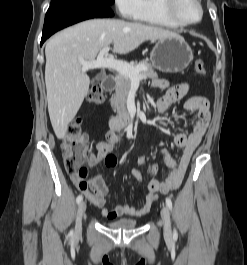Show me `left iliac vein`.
I'll list each match as a JSON object with an SVG mask.
<instances>
[{"mask_svg":"<svg viewBox=\"0 0 247 265\" xmlns=\"http://www.w3.org/2000/svg\"><path fill=\"white\" fill-rule=\"evenodd\" d=\"M161 217H162L163 225H164V235L169 238L171 237V234H172L171 221H170L169 211L166 206H163L161 210Z\"/></svg>","mask_w":247,"mask_h":265,"instance_id":"obj_1","label":"left iliac vein"}]
</instances>
